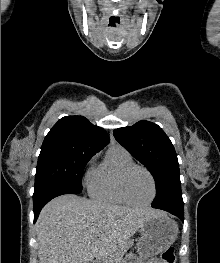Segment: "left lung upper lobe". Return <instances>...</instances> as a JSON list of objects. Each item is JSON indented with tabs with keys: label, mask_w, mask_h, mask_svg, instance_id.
Returning <instances> with one entry per match:
<instances>
[{
	"label": "left lung upper lobe",
	"mask_w": 220,
	"mask_h": 263,
	"mask_svg": "<svg viewBox=\"0 0 220 263\" xmlns=\"http://www.w3.org/2000/svg\"><path fill=\"white\" fill-rule=\"evenodd\" d=\"M115 139L152 174L156 197L152 207L184 210L179 163L172 142L164 131L149 121L114 130Z\"/></svg>",
	"instance_id": "5c2ea615"
}]
</instances>
